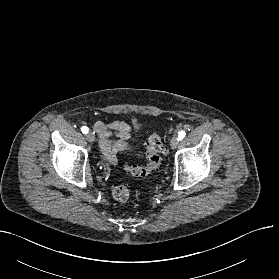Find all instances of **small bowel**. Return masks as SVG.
Listing matches in <instances>:
<instances>
[{"instance_id": "1", "label": "small bowel", "mask_w": 279, "mask_h": 279, "mask_svg": "<svg viewBox=\"0 0 279 279\" xmlns=\"http://www.w3.org/2000/svg\"><path fill=\"white\" fill-rule=\"evenodd\" d=\"M94 129L99 136L103 157L110 164H116L118 154L125 153L130 149L127 140L131 137V125L125 121L110 123L97 121L94 124Z\"/></svg>"}]
</instances>
